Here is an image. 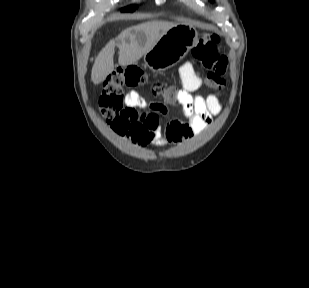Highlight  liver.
<instances>
[{
	"instance_id": "6515ba94",
	"label": "liver",
	"mask_w": 309,
	"mask_h": 288,
	"mask_svg": "<svg viewBox=\"0 0 309 288\" xmlns=\"http://www.w3.org/2000/svg\"><path fill=\"white\" fill-rule=\"evenodd\" d=\"M177 23L168 21H148L122 31L115 40L109 41L99 52L91 72V80L96 85L106 79L114 70L115 46L119 48L118 63L121 66L131 65L145 55L169 29ZM143 35L144 42L138 39Z\"/></svg>"
}]
</instances>
